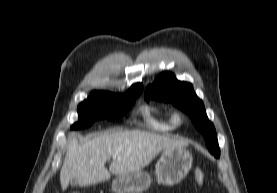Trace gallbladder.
<instances>
[{"instance_id": "bac80fb5", "label": "gallbladder", "mask_w": 277, "mask_h": 193, "mask_svg": "<svg viewBox=\"0 0 277 193\" xmlns=\"http://www.w3.org/2000/svg\"><path fill=\"white\" fill-rule=\"evenodd\" d=\"M78 185V183L77 182H75V181H71V186H77Z\"/></svg>"}]
</instances>
